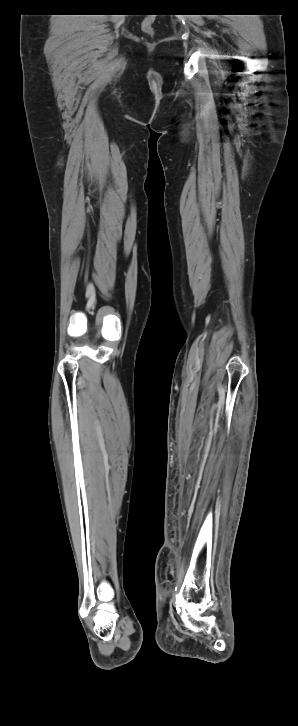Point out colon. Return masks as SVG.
I'll use <instances>...</instances> for the list:
<instances>
[{
  "mask_svg": "<svg viewBox=\"0 0 298 726\" xmlns=\"http://www.w3.org/2000/svg\"><path fill=\"white\" fill-rule=\"evenodd\" d=\"M142 30L148 34L153 35L154 29H153V19L152 18H146L142 22Z\"/></svg>",
  "mask_w": 298,
  "mask_h": 726,
  "instance_id": "1",
  "label": "colon"
}]
</instances>
